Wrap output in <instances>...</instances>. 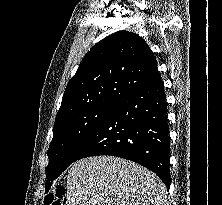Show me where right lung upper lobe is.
I'll use <instances>...</instances> for the list:
<instances>
[{"mask_svg":"<svg viewBox=\"0 0 222 205\" xmlns=\"http://www.w3.org/2000/svg\"><path fill=\"white\" fill-rule=\"evenodd\" d=\"M160 76L155 56L137 34L118 31L85 55L69 81L55 122L103 102H119Z\"/></svg>","mask_w":222,"mask_h":205,"instance_id":"cb5924a9","label":"right lung upper lobe"}]
</instances>
